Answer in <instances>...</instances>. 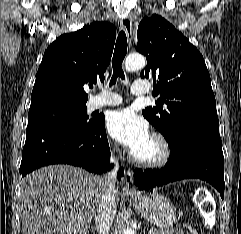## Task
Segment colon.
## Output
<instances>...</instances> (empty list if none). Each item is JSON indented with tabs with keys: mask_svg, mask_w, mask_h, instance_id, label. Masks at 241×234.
I'll list each match as a JSON object with an SVG mask.
<instances>
[{
	"mask_svg": "<svg viewBox=\"0 0 241 234\" xmlns=\"http://www.w3.org/2000/svg\"><path fill=\"white\" fill-rule=\"evenodd\" d=\"M197 201L200 205L201 211L204 214H210L213 211V203L206 191L201 190L198 192Z\"/></svg>",
	"mask_w": 241,
	"mask_h": 234,
	"instance_id": "colon-1",
	"label": "colon"
}]
</instances>
